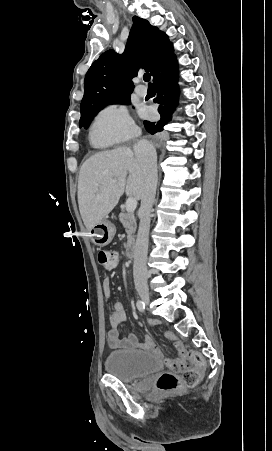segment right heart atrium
Returning a JSON list of instances; mask_svg holds the SVG:
<instances>
[{"label": "right heart atrium", "instance_id": "right-heart-atrium-1", "mask_svg": "<svg viewBox=\"0 0 272 451\" xmlns=\"http://www.w3.org/2000/svg\"><path fill=\"white\" fill-rule=\"evenodd\" d=\"M134 123L127 110L121 106H109L102 110L91 127V138L95 143L120 142L129 139Z\"/></svg>", "mask_w": 272, "mask_h": 451}]
</instances>
